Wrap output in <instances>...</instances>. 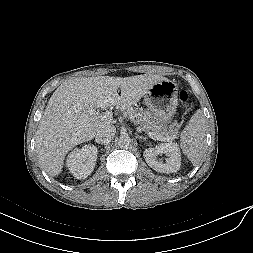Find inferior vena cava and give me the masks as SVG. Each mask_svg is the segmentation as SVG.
Wrapping results in <instances>:
<instances>
[{"label":"inferior vena cava","instance_id":"obj_1","mask_svg":"<svg viewBox=\"0 0 253 253\" xmlns=\"http://www.w3.org/2000/svg\"><path fill=\"white\" fill-rule=\"evenodd\" d=\"M116 134V128L113 125L102 126L95 135V141L99 144L110 143Z\"/></svg>","mask_w":253,"mask_h":253}]
</instances>
